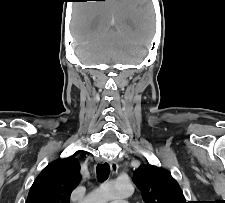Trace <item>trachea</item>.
Listing matches in <instances>:
<instances>
[{"label": "trachea", "instance_id": "3493384b", "mask_svg": "<svg viewBox=\"0 0 225 203\" xmlns=\"http://www.w3.org/2000/svg\"><path fill=\"white\" fill-rule=\"evenodd\" d=\"M98 180L103 182L105 181L110 174V166L107 163L98 164L96 167Z\"/></svg>", "mask_w": 225, "mask_h": 203}]
</instances>
